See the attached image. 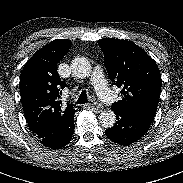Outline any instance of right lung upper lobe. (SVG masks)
Returning a JSON list of instances; mask_svg holds the SVG:
<instances>
[{
	"mask_svg": "<svg viewBox=\"0 0 183 183\" xmlns=\"http://www.w3.org/2000/svg\"><path fill=\"white\" fill-rule=\"evenodd\" d=\"M71 47V41L57 39L38 50L23 67L20 96L29 129L33 134L68 131L74 124L75 105L62 103L66 84L57 73V64Z\"/></svg>",
	"mask_w": 183,
	"mask_h": 183,
	"instance_id": "cb5924a9",
	"label": "right lung upper lobe"
}]
</instances>
